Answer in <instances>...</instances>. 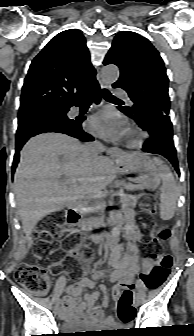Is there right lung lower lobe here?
I'll return each instance as SVG.
<instances>
[{
	"instance_id": "right-lung-lower-lobe-1",
	"label": "right lung lower lobe",
	"mask_w": 194,
	"mask_h": 336,
	"mask_svg": "<svg viewBox=\"0 0 194 336\" xmlns=\"http://www.w3.org/2000/svg\"><path fill=\"white\" fill-rule=\"evenodd\" d=\"M85 97H92L95 103H99L101 100L100 97V86L98 82H94L82 95H80L77 99L73 100V102L65 107V110H69L71 106H78L81 103V100ZM85 119V118H84ZM84 119H72V123L65 124H53L50 122H36L31 124H23L18 126L17 134H16V147H15V155L14 161L12 165V174L14 173L16 166L19 162L20 150L23 145L33 136H36L41 133L46 132H56V133H64L69 136L75 137L81 141H93L94 138L87 134L81 126V123Z\"/></svg>"
}]
</instances>
